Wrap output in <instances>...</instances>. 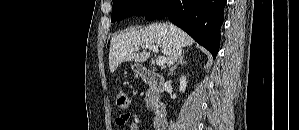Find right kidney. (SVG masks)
<instances>
[{
    "label": "right kidney",
    "instance_id": "right-kidney-1",
    "mask_svg": "<svg viewBox=\"0 0 299 130\" xmlns=\"http://www.w3.org/2000/svg\"><path fill=\"white\" fill-rule=\"evenodd\" d=\"M186 86H187L186 77H185V76H182V77L180 78V86H179L180 91H181V92H185Z\"/></svg>",
    "mask_w": 299,
    "mask_h": 130
}]
</instances>
